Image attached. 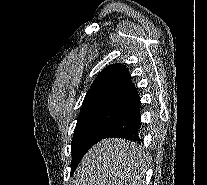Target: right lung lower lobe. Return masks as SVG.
Returning a JSON list of instances; mask_svg holds the SVG:
<instances>
[{"instance_id": "right-lung-lower-lobe-1", "label": "right lung lower lobe", "mask_w": 207, "mask_h": 185, "mask_svg": "<svg viewBox=\"0 0 207 185\" xmlns=\"http://www.w3.org/2000/svg\"><path fill=\"white\" fill-rule=\"evenodd\" d=\"M140 104L139 99L129 109L124 111L121 117L108 128L99 140L109 137H119L140 143L141 139L138 137L141 123Z\"/></svg>"}]
</instances>
